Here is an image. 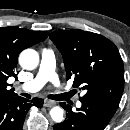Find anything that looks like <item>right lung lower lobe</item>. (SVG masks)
<instances>
[{
	"mask_svg": "<svg viewBox=\"0 0 130 130\" xmlns=\"http://www.w3.org/2000/svg\"><path fill=\"white\" fill-rule=\"evenodd\" d=\"M31 106L41 108L43 99L32 101L18 95L0 96V130H22L25 116Z\"/></svg>",
	"mask_w": 130,
	"mask_h": 130,
	"instance_id": "obj_1",
	"label": "right lung lower lobe"
}]
</instances>
